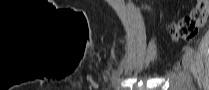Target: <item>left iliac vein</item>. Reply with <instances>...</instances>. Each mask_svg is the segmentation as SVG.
Instances as JSON below:
<instances>
[{
  "label": "left iliac vein",
  "instance_id": "1",
  "mask_svg": "<svg viewBox=\"0 0 209 90\" xmlns=\"http://www.w3.org/2000/svg\"><path fill=\"white\" fill-rule=\"evenodd\" d=\"M182 63L185 69L190 68V57L187 54H184L182 57Z\"/></svg>",
  "mask_w": 209,
  "mask_h": 90
}]
</instances>
